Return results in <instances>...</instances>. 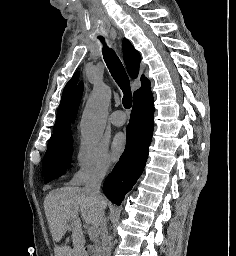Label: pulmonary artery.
Segmentation results:
<instances>
[{"label": "pulmonary artery", "mask_w": 236, "mask_h": 256, "mask_svg": "<svg viewBox=\"0 0 236 256\" xmlns=\"http://www.w3.org/2000/svg\"><path fill=\"white\" fill-rule=\"evenodd\" d=\"M116 113H118V112H115V113H113L111 115V117H110L111 123L113 125H115V126H122V125H124L125 122H126V119L120 118V117L116 116Z\"/></svg>", "instance_id": "e3ab8cb5"}]
</instances>
